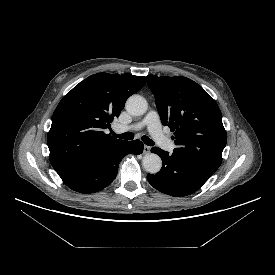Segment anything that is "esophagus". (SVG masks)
Listing matches in <instances>:
<instances>
[{
  "label": "esophagus",
  "mask_w": 275,
  "mask_h": 275,
  "mask_svg": "<svg viewBox=\"0 0 275 275\" xmlns=\"http://www.w3.org/2000/svg\"><path fill=\"white\" fill-rule=\"evenodd\" d=\"M150 151H151V147L145 145V146H144V149H143V153H144V154H148V153H150Z\"/></svg>",
  "instance_id": "obj_1"
}]
</instances>
